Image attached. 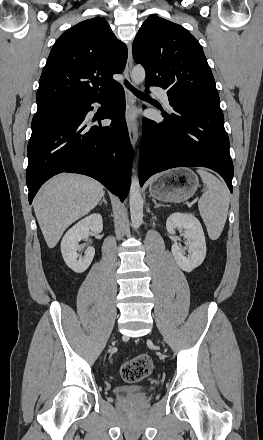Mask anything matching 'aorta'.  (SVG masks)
Returning <instances> with one entry per match:
<instances>
[{"mask_svg":"<svg viewBox=\"0 0 263 440\" xmlns=\"http://www.w3.org/2000/svg\"><path fill=\"white\" fill-rule=\"evenodd\" d=\"M131 78L135 84H139L145 79V70L142 66L137 65L133 68ZM133 175L131 177L130 192H129V204L132 225L135 229H138L143 222V198L140 192V184L135 169L132 170Z\"/></svg>","mask_w":263,"mask_h":440,"instance_id":"obj_1","label":"aorta"}]
</instances>
